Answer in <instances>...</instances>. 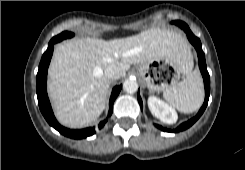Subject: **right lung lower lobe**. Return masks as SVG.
<instances>
[{
	"label": "right lung lower lobe",
	"mask_w": 245,
	"mask_h": 170,
	"mask_svg": "<svg viewBox=\"0 0 245 170\" xmlns=\"http://www.w3.org/2000/svg\"><path fill=\"white\" fill-rule=\"evenodd\" d=\"M57 43L55 40H51L49 42L48 48L46 52L43 54L41 62L39 64V70L37 73V79H36V92H37V97H38V104L41 113L47 120V122L55 128L57 131H59L61 134L74 138V139H81V138H86L88 136H91L95 133V128L90 127L82 130H71L68 128H65L61 126L56 118L54 117V114L51 109V105L47 96V91H46V82H47V69L53 54V49H54V44ZM122 88V85L114 87L111 97H110V102H109V116L113 112V103L115 98L118 96L120 90ZM107 121L104 120L99 123L98 127L101 129L104 125L105 122Z\"/></svg>",
	"instance_id": "1"
}]
</instances>
